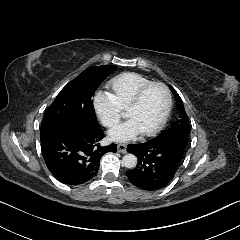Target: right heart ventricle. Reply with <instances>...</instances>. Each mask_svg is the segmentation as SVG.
<instances>
[{
    "mask_svg": "<svg viewBox=\"0 0 240 240\" xmlns=\"http://www.w3.org/2000/svg\"><path fill=\"white\" fill-rule=\"evenodd\" d=\"M151 81L137 73L126 72L106 83L107 95L112 99L119 110H124L132 101L136 92Z\"/></svg>",
    "mask_w": 240,
    "mask_h": 240,
    "instance_id": "obj_1",
    "label": "right heart ventricle"
}]
</instances>
